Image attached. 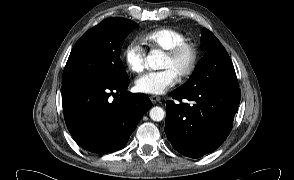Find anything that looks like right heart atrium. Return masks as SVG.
Listing matches in <instances>:
<instances>
[{
  "instance_id": "right-heart-atrium-1",
  "label": "right heart atrium",
  "mask_w": 294,
  "mask_h": 180,
  "mask_svg": "<svg viewBox=\"0 0 294 180\" xmlns=\"http://www.w3.org/2000/svg\"><path fill=\"white\" fill-rule=\"evenodd\" d=\"M128 69L134 73H140L144 69L145 50L134 39L130 40L121 53Z\"/></svg>"
}]
</instances>
